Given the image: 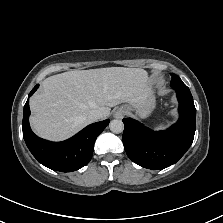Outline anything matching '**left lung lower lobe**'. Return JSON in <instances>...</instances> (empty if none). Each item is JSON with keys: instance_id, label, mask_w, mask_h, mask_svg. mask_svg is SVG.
<instances>
[{"instance_id": "0a47b994", "label": "left lung lower lobe", "mask_w": 223, "mask_h": 223, "mask_svg": "<svg viewBox=\"0 0 223 223\" xmlns=\"http://www.w3.org/2000/svg\"><path fill=\"white\" fill-rule=\"evenodd\" d=\"M179 101L178 121L164 131H153L134 119L124 118L123 143L128 157L148 169L176 163L191 146L196 129V109L189 88L173 86Z\"/></svg>"}]
</instances>
